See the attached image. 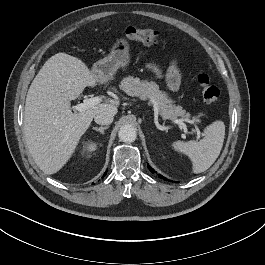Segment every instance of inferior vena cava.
<instances>
[{"label":"inferior vena cava","mask_w":265,"mask_h":265,"mask_svg":"<svg viewBox=\"0 0 265 265\" xmlns=\"http://www.w3.org/2000/svg\"><path fill=\"white\" fill-rule=\"evenodd\" d=\"M113 118L114 114L112 112L100 111L95 115L94 120L97 124L107 125L113 122Z\"/></svg>","instance_id":"602c4592"}]
</instances>
